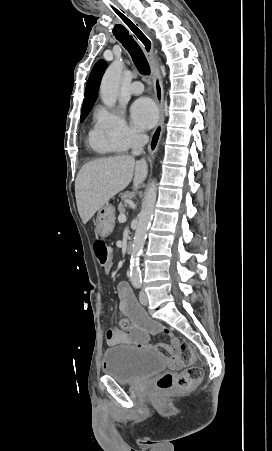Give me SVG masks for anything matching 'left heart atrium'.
Listing matches in <instances>:
<instances>
[{
  "label": "left heart atrium",
  "instance_id": "1",
  "mask_svg": "<svg viewBox=\"0 0 272 451\" xmlns=\"http://www.w3.org/2000/svg\"><path fill=\"white\" fill-rule=\"evenodd\" d=\"M132 119L138 128H149L156 120V109L147 98L138 100L132 106Z\"/></svg>",
  "mask_w": 272,
  "mask_h": 451
}]
</instances>
